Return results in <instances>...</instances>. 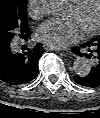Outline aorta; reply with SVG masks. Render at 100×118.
<instances>
[{
    "mask_svg": "<svg viewBox=\"0 0 100 118\" xmlns=\"http://www.w3.org/2000/svg\"><path fill=\"white\" fill-rule=\"evenodd\" d=\"M45 8L56 17H62L68 13V4L65 0H47ZM73 69L77 75L86 76L91 71V63L86 57H77L74 60Z\"/></svg>",
    "mask_w": 100,
    "mask_h": 118,
    "instance_id": "obj_1",
    "label": "aorta"
}]
</instances>
